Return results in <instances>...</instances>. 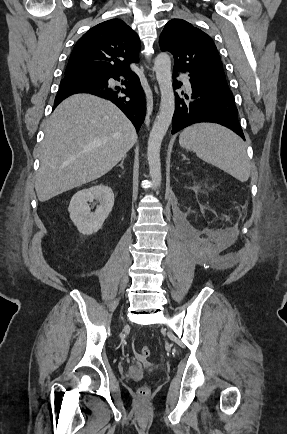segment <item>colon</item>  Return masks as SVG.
Listing matches in <instances>:
<instances>
[{"label": "colon", "instance_id": "colon-1", "mask_svg": "<svg viewBox=\"0 0 287 434\" xmlns=\"http://www.w3.org/2000/svg\"><path fill=\"white\" fill-rule=\"evenodd\" d=\"M151 355V351L150 348L147 346H143L140 348L138 357L140 360H147ZM149 395V389L146 386H142L139 390H138V396L141 399H145L147 398Z\"/></svg>", "mask_w": 287, "mask_h": 434}]
</instances>
